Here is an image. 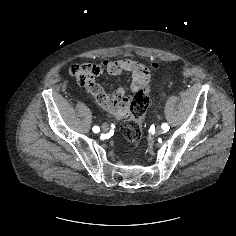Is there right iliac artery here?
I'll list each match as a JSON object with an SVG mask.
<instances>
[{
  "instance_id": "82829eb1",
  "label": "right iliac artery",
  "mask_w": 236,
  "mask_h": 236,
  "mask_svg": "<svg viewBox=\"0 0 236 236\" xmlns=\"http://www.w3.org/2000/svg\"><path fill=\"white\" fill-rule=\"evenodd\" d=\"M92 130L94 133H98L100 131V128L98 126H94Z\"/></svg>"
}]
</instances>
